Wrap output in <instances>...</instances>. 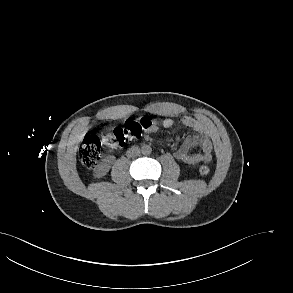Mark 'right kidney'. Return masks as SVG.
<instances>
[{
	"mask_svg": "<svg viewBox=\"0 0 293 293\" xmlns=\"http://www.w3.org/2000/svg\"><path fill=\"white\" fill-rule=\"evenodd\" d=\"M107 170H108V166H106V165H101V166H99V167L97 168L96 173H97L98 175H103V174H105V173L107 172Z\"/></svg>",
	"mask_w": 293,
	"mask_h": 293,
	"instance_id": "1",
	"label": "right kidney"
}]
</instances>
